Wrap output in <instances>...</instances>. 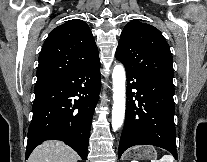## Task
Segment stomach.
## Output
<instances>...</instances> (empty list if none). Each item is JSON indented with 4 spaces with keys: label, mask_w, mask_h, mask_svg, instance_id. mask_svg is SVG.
I'll list each match as a JSON object with an SVG mask.
<instances>
[{
    "label": "stomach",
    "mask_w": 207,
    "mask_h": 162,
    "mask_svg": "<svg viewBox=\"0 0 207 162\" xmlns=\"http://www.w3.org/2000/svg\"><path fill=\"white\" fill-rule=\"evenodd\" d=\"M136 157L141 160L154 159L157 157V152L153 146L142 145L133 148L131 151H128L126 158Z\"/></svg>",
    "instance_id": "stomach-1"
}]
</instances>
